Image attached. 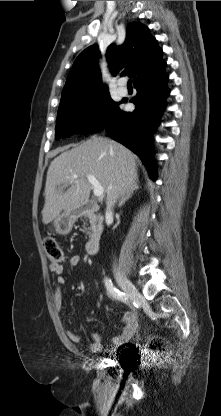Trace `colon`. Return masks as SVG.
<instances>
[{"label":"colon","mask_w":221,"mask_h":416,"mask_svg":"<svg viewBox=\"0 0 221 416\" xmlns=\"http://www.w3.org/2000/svg\"><path fill=\"white\" fill-rule=\"evenodd\" d=\"M44 248L47 253L48 259L54 263L59 264L63 260V251L57 241L53 238H46L44 240ZM164 347V343L161 340H154L150 343V348L153 350H161Z\"/></svg>","instance_id":"obj_1"}]
</instances>
